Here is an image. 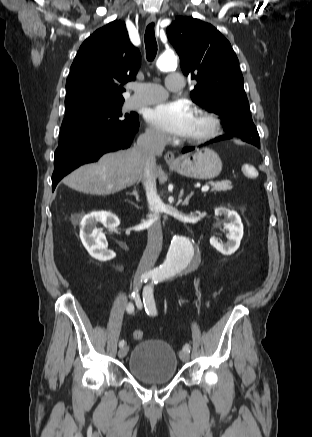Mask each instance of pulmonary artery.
I'll return each instance as SVG.
<instances>
[{
    "instance_id": "1",
    "label": "pulmonary artery",
    "mask_w": 312,
    "mask_h": 437,
    "mask_svg": "<svg viewBox=\"0 0 312 437\" xmlns=\"http://www.w3.org/2000/svg\"><path fill=\"white\" fill-rule=\"evenodd\" d=\"M166 88L158 84H136L133 87V96L129 100V107L136 108L150 105L164 100L168 91H178L185 85L183 76L179 73H173L167 76Z\"/></svg>"
}]
</instances>
